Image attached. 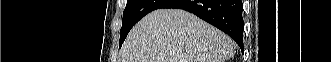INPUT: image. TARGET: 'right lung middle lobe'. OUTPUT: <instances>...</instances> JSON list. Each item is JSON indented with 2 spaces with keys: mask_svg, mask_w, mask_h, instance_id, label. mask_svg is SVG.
Masks as SVG:
<instances>
[{
  "mask_svg": "<svg viewBox=\"0 0 331 62\" xmlns=\"http://www.w3.org/2000/svg\"><path fill=\"white\" fill-rule=\"evenodd\" d=\"M172 0H127L123 13L122 28L120 30L121 47L131 28L146 14L153 10L163 8Z\"/></svg>",
  "mask_w": 331,
  "mask_h": 62,
  "instance_id": "1",
  "label": "right lung middle lobe"
}]
</instances>
